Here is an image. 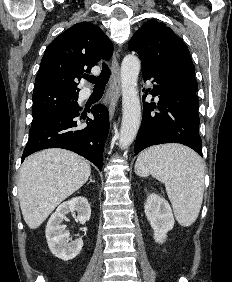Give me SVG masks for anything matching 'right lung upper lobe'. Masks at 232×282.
<instances>
[{"label": "right lung upper lobe", "mask_w": 232, "mask_h": 282, "mask_svg": "<svg viewBox=\"0 0 232 282\" xmlns=\"http://www.w3.org/2000/svg\"><path fill=\"white\" fill-rule=\"evenodd\" d=\"M113 45L104 32L90 22L73 25L46 48L35 79L34 91L61 90L78 93V81L101 58L109 59Z\"/></svg>", "instance_id": "cb5924a9"}]
</instances>
